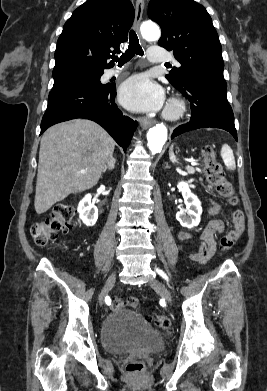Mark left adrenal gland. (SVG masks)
I'll return each mask as SVG.
<instances>
[{
  "instance_id": "left-adrenal-gland-1",
  "label": "left adrenal gland",
  "mask_w": 267,
  "mask_h": 391,
  "mask_svg": "<svg viewBox=\"0 0 267 391\" xmlns=\"http://www.w3.org/2000/svg\"><path fill=\"white\" fill-rule=\"evenodd\" d=\"M165 168H169L168 163L166 164V167H165Z\"/></svg>"
}]
</instances>
